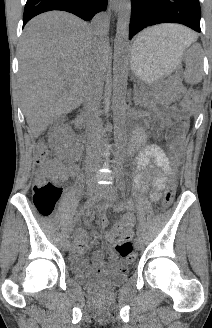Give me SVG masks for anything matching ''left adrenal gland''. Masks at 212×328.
<instances>
[{"mask_svg":"<svg viewBox=\"0 0 212 328\" xmlns=\"http://www.w3.org/2000/svg\"><path fill=\"white\" fill-rule=\"evenodd\" d=\"M135 99H136V91H135Z\"/></svg>","mask_w":212,"mask_h":328,"instance_id":"1","label":"left adrenal gland"}]
</instances>
